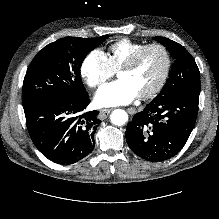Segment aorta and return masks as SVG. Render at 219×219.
I'll return each instance as SVG.
<instances>
[{"mask_svg": "<svg viewBox=\"0 0 219 219\" xmlns=\"http://www.w3.org/2000/svg\"><path fill=\"white\" fill-rule=\"evenodd\" d=\"M111 122L116 126H122L128 121V114L122 109H116L110 116Z\"/></svg>", "mask_w": 219, "mask_h": 219, "instance_id": "1", "label": "aorta"}]
</instances>
